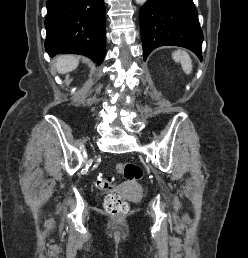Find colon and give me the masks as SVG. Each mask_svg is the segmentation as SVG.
Segmentation results:
<instances>
[{"label":"colon","instance_id":"obj_1","mask_svg":"<svg viewBox=\"0 0 248 258\" xmlns=\"http://www.w3.org/2000/svg\"><path fill=\"white\" fill-rule=\"evenodd\" d=\"M116 172L127 180L140 181L143 178L142 168L130 162H120L116 165ZM95 184L98 188L106 191H110L114 188V181L112 177L98 176L95 180ZM106 211L113 216H121L128 210L127 202L118 194H109L104 202Z\"/></svg>","mask_w":248,"mask_h":258}]
</instances>
